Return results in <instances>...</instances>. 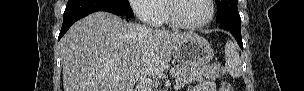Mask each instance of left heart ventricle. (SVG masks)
I'll list each match as a JSON object with an SVG mask.
<instances>
[{
	"instance_id": "b2bd125f",
	"label": "left heart ventricle",
	"mask_w": 304,
	"mask_h": 91,
	"mask_svg": "<svg viewBox=\"0 0 304 91\" xmlns=\"http://www.w3.org/2000/svg\"><path fill=\"white\" fill-rule=\"evenodd\" d=\"M175 14L179 20L187 24H197L209 15L206 0H181L175 4Z\"/></svg>"
}]
</instances>
